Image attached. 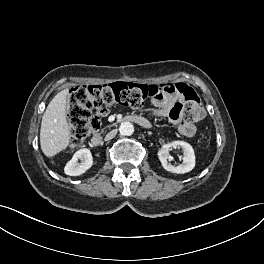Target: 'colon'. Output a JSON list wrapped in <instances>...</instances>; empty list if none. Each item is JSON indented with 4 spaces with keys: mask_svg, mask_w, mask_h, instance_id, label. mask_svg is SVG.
I'll return each instance as SVG.
<instances>
[{
    "mask_svg": "<svg viewBox=\"0 0 264 264\" xmlns=\"http://www.w3.org/2000/svg\"><path fill=\"white\" fill-rule=\"evenodd\" d=\"M178 93L182 117L190 122H199L205 116L200 97L184 83L147 85L132 82H114L104 85H79L69 96L68 120L71 128V147L83 144L93 130L100 127L99 115L115 105L139 108L148 101L166 94ZM96 111V116L93 115Z\"/></svg>",
    "mask_w": 264,
    "mask_h": 264,
    "instance_id": "obj_1",
    "label": "colon"
}]
</instances>
